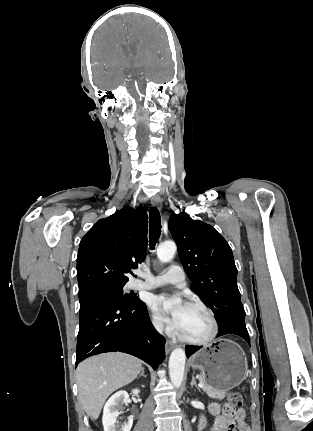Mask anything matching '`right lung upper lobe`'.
Returning <instances> with one entry per match:
<instances>
[{"mask_svg":"<svg viewBox=\"0 0 313 431\" xmlns=\"http://www.w3.org/2000/svg\"><path fill=\"white\" fill-rule=\"evenodd\" d=\"M146 249V211L126 207L97 221L78 250L79 297L126 284L128 272L145 259Z\"/></svg>","mask_w":313,"mask_h":431,"instance_id":"obj_1","label":"right lung upper lobe"}]
</instances>
